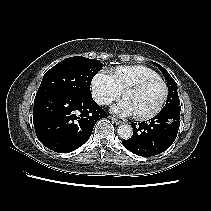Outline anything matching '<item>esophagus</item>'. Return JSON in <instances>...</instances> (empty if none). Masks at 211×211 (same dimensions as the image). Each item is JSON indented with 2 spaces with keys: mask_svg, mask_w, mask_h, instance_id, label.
Wrapping results in <instances>:
<instances>
[{
  "mask_svg": "<svg viewBox=\"0 0 211 211\" xmlns=\"http://www.w3.org/2000/svg\"><path fill=\"white\" fill-rule=\"evenodd\" d=\"M111 120H112L115 124H117V125H120V124L123 123L122 121H120V120H118V119H116V118H113V117H111Z\"/></svg>",
  "mask_w": 211,
  "mask_h": 211,
  "instance_id": "obj_1",
  "label": "esophagus"
}]
</instances>
